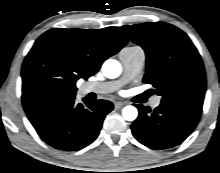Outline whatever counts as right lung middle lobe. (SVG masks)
Listing matches in <instances>:
<instances>
[{"label": "right lung middle lobe", "mask_w": 220, "mask_h": 173, "mask_svg": "<svg viewBox=\"0 0 220 173\" xmlns=\"http://www.w3.org/2000/svg\"><path fill=\"white\" fill-rule=\"evenodd\" d=\"M76 90H77V89H76V88H74V89H73V93H75V92H76ZM26 110H27V109H26Z\"/></svg>", "instance_id": "right-lung-middle-lobe-1"}]
</instances>
